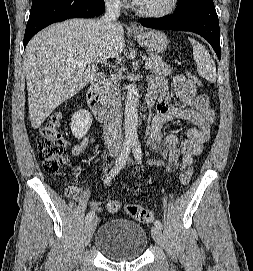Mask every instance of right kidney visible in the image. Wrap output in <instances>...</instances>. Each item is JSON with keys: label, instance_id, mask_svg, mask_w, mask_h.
<instances>
[{"label": "right kidney", "instance_id": "obj_1", "mask_svg": "<svg viewBox=\"0 0 253 271\" xmlns=\"http://www.w3.org/2000/svg\"><path fill=\"white\" fill-rule=\"evenodd\" d=\"M92 124L91 113L87 110L75 112L71 119V131L75 138L81 139L85 136Z\"/></svg>", "mask_w": 253, "mask_h": 271}]
</instances>
